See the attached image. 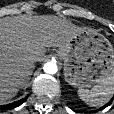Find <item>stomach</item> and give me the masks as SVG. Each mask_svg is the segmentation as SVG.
<instances>
[{
  "label": "stomach",
  "instance_id": "0dacf381",
  "mask_svg": "<svg viewBox=\"0 0 114 114\" xmlns=\"http://www.w3.org/2000/svg\"><path fill=\"white\" fill-rule=\"evenodd\" d=\"M64 62L65 80L87 88L114 71V48L101 33L84 30L73 36L57 52Z\"/></svg>",
  "mask_w": 114,
  "mask_h": 114
}]
</instances>
